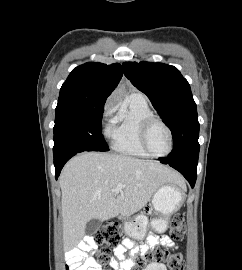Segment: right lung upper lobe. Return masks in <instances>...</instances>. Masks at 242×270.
<instances>
[{"label":"right lung upper lobe","mask_w":242,"mask_h":270,"mask_svg":"<svg viewBox=\"0 0 242 270\" xmlns=\"http://www.w3.org/2000/svg\"><path fill=\"white\" fill-rule=\"evenodd\" d=\"M119 64L88 62L74 68L63 83L56 108L103 106L122 77Z\"/></svg>","instance_id":"cb5924a9"}]
</instances>
